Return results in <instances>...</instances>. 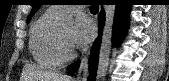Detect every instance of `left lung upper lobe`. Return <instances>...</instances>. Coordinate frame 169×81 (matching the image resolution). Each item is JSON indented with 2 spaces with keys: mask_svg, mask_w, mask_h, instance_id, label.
Wrapping results in <instances>:
<instances>
[{
  "mask_svg": "<svg viewBox=\"0 0 169 81\" xmlns=\"http://www.w3.org/2000/svg\"><path fill=\"white\" fill-rule=\"evenodd\" d=\"M41 3H42V0H33V7H32L31 14H30V18L37 11V9L39 8V6L42 5Z\"/></svg>",
  "mask_w": 169,
  "mask_h": 81,
  "instance_id": "5c2ea615",
  "label": "left lung upper lobe"
}]
</instances>
